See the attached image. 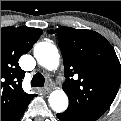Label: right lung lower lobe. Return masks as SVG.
Listing matches in <instances>:
<instances>
[{
    "label": "right lung lower lobe",
    "instance_id": "obj_1",
    "mask_svg": "<svg viewBox=\"0 0 121 121\" xmlns=\"http://www.w3.org/2000/svg\"><path fill=\"white\" fill-rule=\"evenodd\" d=\"M28 104L19 113H17L15 116H13L9 121H18L22 117V115L24 114Z\"/></svg>",
    "mask_w": 121,
    "mask_h": 121
}]
</instances>
